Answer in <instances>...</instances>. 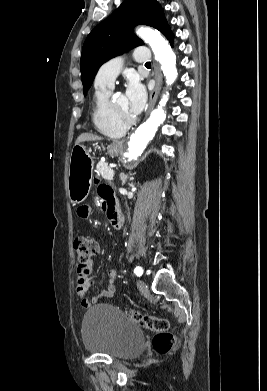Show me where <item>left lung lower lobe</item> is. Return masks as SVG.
I'll use <instances>...</instances> for the list:
<instances>
[{
  "label": "left lung lower lobe",
  "mask_w": 267,
  "mask_h": 391,
  "mask_svg": "<svg viewBox=\"0 0 267 391\" xmlns=\"http://www.w3.org/2000/svg\"><path fill=\"white\" fill-rule=\"evenodd\" d=\"M164 36L169 40L171 46H172V40H173V33L169 29L166 33H164Z\"/></svg>",
  "instance_id": "0a47b994"
}]
</instances>
